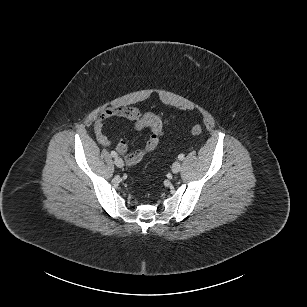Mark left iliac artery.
Returning a JSON list of instances; mask_svg holds the SVG:
<instances>
[{
    "label": "left iliac artery",
    "mask_w": 307,
    "mask_h": 307,
    "mask_svg": "<svg viewBox=\"0 0 307 307\" xmlns=\"http://www.w3.org/2000/svg\"><path fill=\"white\" fill-rule=\"evenodd\" d=\"M178 159H179V160H183V159H184V154H179V155H178Z\"/></svg>",
    "instance_id": "44dca946"
}]
</instances>
